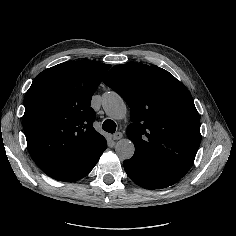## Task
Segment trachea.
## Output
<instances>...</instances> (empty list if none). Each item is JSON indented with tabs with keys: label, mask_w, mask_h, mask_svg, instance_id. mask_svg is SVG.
I'll return each mask as SVG.
<instances>
[{
	"label": "trachea",
	"mask_w": 236,
	"mask_h": 236,
	"mask_svg": "<svg viewBox=\"0 0 236 236\" xmlns=\"http://www.w3.org/2000/svg\"><path fill=\"white\" fill-rule=\"evenodd\" d=\"M102 129L106 132L114 133L116 131V123L111 119H107L103 122Z\"/></svg>",
	"instance_id": "trachea-1"
}]
</instances>
